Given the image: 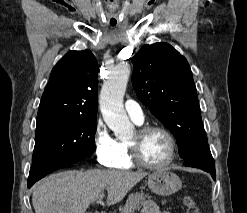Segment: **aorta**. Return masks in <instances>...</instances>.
<instances>
[{
    "label": "aorta",
    "instance_id": "obj_1",
    "mask_svg": "<svg viewBox=\"0 0 247 213\" xmlns=\"http://www.w3.org/2000/svg\"><path fill=\"white\" fill-rule=\"evenodd\" d=\"M129 76L130 66L127 63L117 65L109 73L99 96L104 121L118 137L129 136L134 130L123 106Z\"/></svg>",
    "mask_w": 247,
    "mask_h": 213
}]
</instances>
